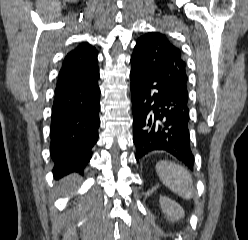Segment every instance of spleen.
<instances>
[{"label": "spleen", "instance_id": "3e777b00", "mask_svg": "<svg viewBox=\"0 0 248 240\" xmlns=\"http://www.w3.org/2000/svg\"><path fill=\"white\" fill-rule=\"evenodd\" d=\"M156 172L162 183L175 194L187 200L194 196L191 174L184 167L170 161H160L156 164Z\"/></svg>", "mask_w": 248, "mask_h": 240}]
</instances>
